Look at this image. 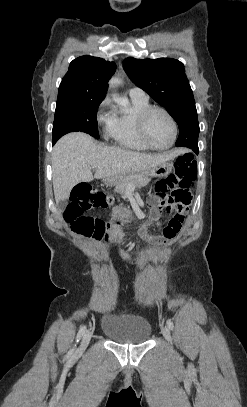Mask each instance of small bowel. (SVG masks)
I'll use <instances>...</instances> for the list:
<instances>
[{
	"instance_id": "1",
	"label": "small bowel",
	"mask_w": 247,
	"mask_h": 407,
	"mask_svg": "<svg viewBox=\"0 0 247 407\" xmlns=\"http://www.w3.org/2000/svg\"><path fill=\"white\" fill-rule=\"evenodd\" d=\"M149 217L141 226L142 234H149V226L153 223H159V234L155 236L158 243H168L173 240L181 231L185 216L188 211V204L175 203L170 198H164L159 194H154L148 199ZM167 212L170 218L167 221H161L163 212ZM124 235L122 229L113 224L110 226L109 232L105 235V241L108 246H111L116 240ZM142 258L136 257L132 263H141Z\"/></svg>"
}]
</instances>
